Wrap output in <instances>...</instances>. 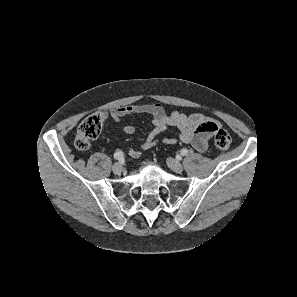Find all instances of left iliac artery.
<instances>
[{
	"label": "left iliac artery",
	"mask_w": 297,
	"mask_h": 297,
	"mask_svg": "<svg viewBox=\"0 0 297 297\" xmlns=\"http://www.w3.org/2000/svg\"><path fill=\"white\" fill-rule=\"evenodd\" d=\"M188 154V150L186 148L181 150V155L186 156Z\"/></svg>",
	"instance_id": "1"
}]
</instances>
